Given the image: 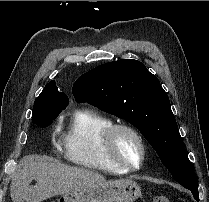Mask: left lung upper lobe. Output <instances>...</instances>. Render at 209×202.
Segmentation results:
<instances>
[{"label": "left lung upper lobe", "instance_id": "left-lung-upper-lobe-1", "mask_svg": "<svg viewBox=\"0 0 209 202\" xmlns=\"http://www.w3.org/2000/svg\"><path fill=\"white\" fill-rule=\"evenodd\" d=\"M78 102H88L137 127L183 187L198 191L196 175L166 92L137 60H117L80 76L73 85Z\"/></svg>", "mask_w": 209, "mask_h": 202}]
</instances>
